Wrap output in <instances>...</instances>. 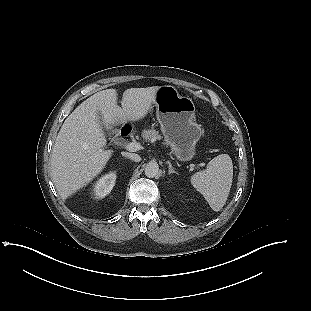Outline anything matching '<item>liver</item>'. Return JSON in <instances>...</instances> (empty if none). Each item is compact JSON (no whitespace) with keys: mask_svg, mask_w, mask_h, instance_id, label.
<instances>
[{"mask_svg":"<svg viewBox=\"0 0 311 311\" xmlns=\"http://www.w3.org/2000/svg\"><path fill=\"white\" fill-rule=\"evenodd\" d=\"M159 86L124 91L122 108L117 91L106 89L83 101L64 121L53 146L51 176L62 198H67L102 172L113 151L105 150L106 128L144 118L151 109ZM101 115V116H100Z\"/></svg>","mask_w":311,"mask_h":311,"instance_id":"liver-1","label":"liver"}]
</instances>
